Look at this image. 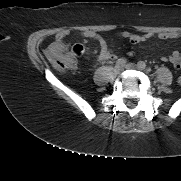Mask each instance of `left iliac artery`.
Wrapping results in <instances>:
<instances>
[{
    "label": "left iliac artery",
    "mask_w": 181,
    "mask_h": 181,
    "mask_svg": "<svg viewBox=\"0 0 181 181\" xmlns=\"http://www.w3.org/2000/svg\"><path fill=\"white\" fill-rule=\"evenodd\" d=\"M138 67L141 68V69H145V68H146L145 62L139 61V62H138Z\"/></svg>",
    "instance_id": "44dca946"
}]
</instances>
